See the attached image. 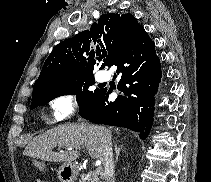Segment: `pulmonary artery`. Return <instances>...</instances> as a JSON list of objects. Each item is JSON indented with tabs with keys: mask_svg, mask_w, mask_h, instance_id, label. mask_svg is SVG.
<instances>
[{
	"mask_svg": "<svg viewBox=\"0 0 211 182\" xmlns=\"http://www.w3.org/2000/svg\"><path fill=\"white\" fill-rule=\"evenodd\" d=\"M98 79H99L100 81H104V80L107 79V77H106L105 75H103V74H100V75L98 76Z\"/></svg>",
	"mask_w": 211,
	"mask_h": 182,
	"instance_id": "1",
	"label": "pulmonary artery"
}]
</instances>
